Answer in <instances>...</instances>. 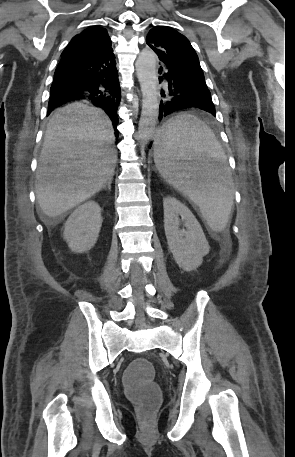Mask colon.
<instances>
[{"mask_svg":"<svg viewBox=\"0 0 295 457\" xmlns=\"http://www.w3.org/2000/svg\"><path fill=\"white\" fill-rule=\"evenodd\" d=\"M155 377L152 363L138 360L129 363L122 378L127 396L137 405L139 417L145 422L153 417L160 401V390L151 380Z\"/></svg>","mask_w":295,"mask_h":457,"instance_id":"5ec220e1","label":"colon"}]
</instances>
